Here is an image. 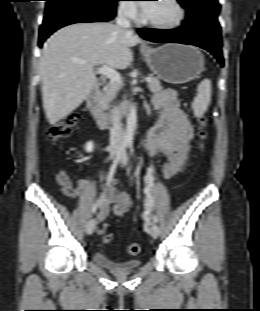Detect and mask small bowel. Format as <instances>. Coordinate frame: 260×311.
I'll return each mask as SVG.
<instances>
[{"label":"small bowel","mask_w":260,"mask_h":311,"mask_svg":"<svg viewBox=\"0 0 260 311\" xmlns=\"http://www.w3.org/2000/svg\"><path fill=\"white\" fill-rule=\"evenodd\" d=\"M154 109H160L157 123L146 131V153L148 156H160L163 159V175L171 178L185 165L190 153V143L194 132L186 113L180 107L177 94L167 89L155 95ZM61 190L67 197L73 198L87 189L84 179L74 189L65 170H59L55 176ZM108 189L101 195L98 205V221H103L110 212L122 217L131 207V198L120 191L116 180L107 181Z\"/></svg>","instance_id":"obj_1"}]
</instances>
